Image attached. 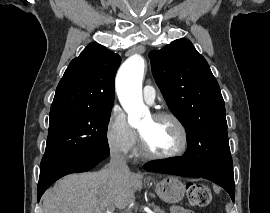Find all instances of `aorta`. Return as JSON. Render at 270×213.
Listing matches in <instances>:
<instances>
[{
	"label": "aorta",
	"mask_w": 270,
	"mask_h": 213,
	"mask_svg": "<svg viewBox=\"0 0 270 213\" xmlns=\"http://www.w3.org/2000/svg\"><path fill=\"white\" fill-rule=\"evenodd\" d=\"M144 69V58L140 55H133L122 64L116 77L119 101L128 114L129 124L133 127L150 116L149 109L143 103L142 98Z\"/></svg>",
	"instance_id": "obj_1"
}]
</instances>
